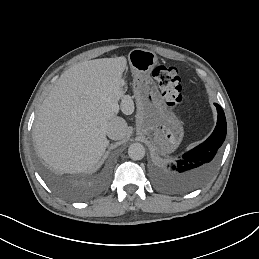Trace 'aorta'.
Segmentation results:
<instances>
[{"label": "aorta", "mask_w": 259, "mask_h": 259, "mask_svg": "<svg viewBox=\"0 0 259 259\" xmlns=\"http://www.w3.org/2000/svg\"><path fill=\"white\" fill-rule=\"evenodd\" d=\"M128 155L132 160H141L145 156V148L140 143H133L128 148Z\"/></svg>", "instance_id": "obj_1"}]
</instances>
